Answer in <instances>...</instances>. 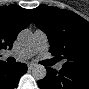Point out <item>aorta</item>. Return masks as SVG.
<instances>
[{
  "label": "aorta",
  "mask_w": 89,
  "mask_h": 89,
  "mask_svg": "<svg viewBox=\"0 0 89 89\" xmlns=\"http://www.w3.org/2000/svg\"><path fill=\"white\" fill-rule=\"evenodd\" d=\"M19 42L22 44V46L30 48L35 44V37L33 33L29 30H23L20 32L18 36ZM46 69L44 66L39 65L37 66L33 71L32 75L36 80L43 79L46 76Z\"/></svg>",
  "instance_id": "762f6f07"
}]
</instances>
